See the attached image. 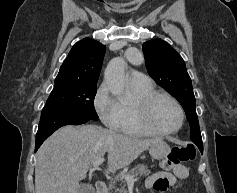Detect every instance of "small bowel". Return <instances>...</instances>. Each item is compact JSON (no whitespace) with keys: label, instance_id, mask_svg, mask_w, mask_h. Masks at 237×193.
<instances>
[{"label":"small bowel","instance_id":"small-bowel-1","mask_svg":"<svg viewBox=\"0 0 237 193\" xmlns=\"http://www.w3.org/2000/svg\"><path fill=\"white\" fill-rule=\"evenodd\" d=\"M188 177V167L181 165L172 172L160 171L149 176L146 180V187L165 192L170 186L175 185L178 181L186 180Z\"/></svg>","mask_w":237,"mask_h":193}]
</instances>
